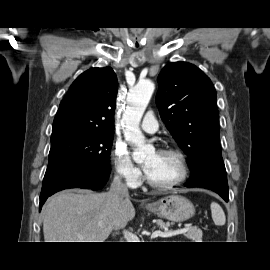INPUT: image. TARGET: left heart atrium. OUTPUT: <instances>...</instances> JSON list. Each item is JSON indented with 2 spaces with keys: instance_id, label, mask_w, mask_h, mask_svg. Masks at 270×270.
I'll return each instance as SVG.
<instances>
[{
  "instance_id": "left-heart-atrium-1",
  "label": "left heart atrium",
  "mask_w": 270,
  "mask_h": 270,
  "mask_svg": "<svg viewBox=\"0 0 270 270\" xmlns=\"http://www.w3.org/2000/svg\"><path fill=\"white\" fill-rule=\"evenodd\" d=\"M150 169H151V163H146L144 165V170L146 171V173H148L150 171Z\"/></svg>"
}]
</instances>
